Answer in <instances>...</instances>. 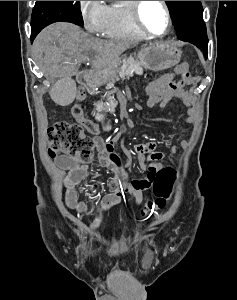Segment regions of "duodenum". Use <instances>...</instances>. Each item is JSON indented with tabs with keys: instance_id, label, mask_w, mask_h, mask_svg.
I'll return each mask as SVG.
<instances>
[{
	"instance_id": "duodenum-1",
	"label": "duodenum",
	"mask_w": 237,
	"mask_h": 300,
	"mask_svg": "<svg viewBox=\"0 0 237 300\" xmlns=\"http://www.w3.org/2000/svg\"><path fill=\"white\" fill-rule=\"evenodd\" d=\"M79 82L88 93H94L101 83L100 73L95 70H85L80 74ZM94 115L100 127L107 130L108 125L104 117L96 111L94 112Z\"/></svg>"
}]
</instances>
